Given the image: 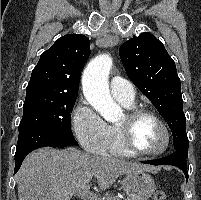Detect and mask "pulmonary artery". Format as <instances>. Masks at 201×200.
<instances>
[{
  "mask_svg": "<svg viewBox=\"0 0 201 200\" xmlns=\"http://www.w3.org/2000/svg\"><path fill=\"white\" fill-rule=\"evenodd\" d=\"M110 90L112 96L116 100H123L127 102H133L135 100V89L133 85L119 76L111 78Z\"/></svg>",
  "mask_w": 201,
  "mask_h": 200,
  "instance_id": "pulmonary-artery-1",
  "label": "pulmonary artery"
}]
</instances>
